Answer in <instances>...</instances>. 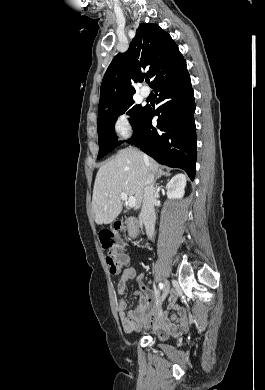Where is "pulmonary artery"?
<instances>
[{
  "instance_id": "1",
  "label": "pulmonary artery",
  "mask_w": 265,
  "mask_h": 390,
  "mask_svg": "<svg viewBox=\"0 0 265 390\" xmlns=\"http://www.w3.org/2000/svg\"><path fill=\"white\" fill-rule=\"evenodd\" d=\"M140 93L143 98H147L150 94V90L147 87L143 86L140 89Z\"/></svg>"
}]
</instances>
